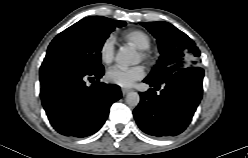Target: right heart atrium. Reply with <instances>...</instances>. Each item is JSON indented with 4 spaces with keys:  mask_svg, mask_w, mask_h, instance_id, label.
<instances>
[{
    "mask_svg": "<svg viewBox=\"0 0 248 158\" xmlns=\"http://www.w3.org/2000/svg\"><path fill=\"white\" fill-rule=\"evenodd\" d=\"M99 56L104 64H110L115 56V48L112 38L108 37L100 45Z\"/></svg>",
    "mask_w": 248,
    "mask_h": 158,
    "instance_id": "right-heart-atrium-1",
    "label": "right heart atrium"
}]
</instances>
